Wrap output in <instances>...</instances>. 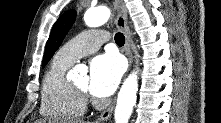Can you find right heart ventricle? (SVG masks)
<instances>
[{
  "mask_svg": "<svg viewBox=\"0 0 221 123\" xmlns=\"http://www.w3.org/2000/svg\"><path fill=\"white\" fill-rule=\"evenodd\" d=\"M72 63L55 56L42 80L40 113L52 119H72L82 116L86 102L66 79Z\"/></svg>",
  "mask_w": 221,
  "mask_h": 123,
  "instance_id": "obj_1",
  "label": "right heart ventricle"
}]
</instances>
